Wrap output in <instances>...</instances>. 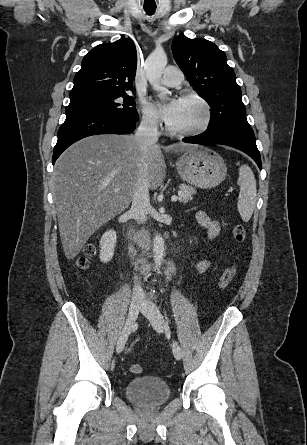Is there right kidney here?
<instances>
[{
	"label": "right kidney",
	"mask_w": 307,
	"mask_h": 445,
	"mask_svg": "<svg viewBox=\"0 0 307 445\" xmlns=\"http://www.w3.org/2000/svg\"><path fill=\"white\" fill-rule=\"evenodd\" d=\"M116 233L111 229V231H107V233H104L101 241H100V261L102 263H108V261H111L114 251H115V245H116Z\"/></svg>",
	"instance_id": "1"
}]
</instances>
